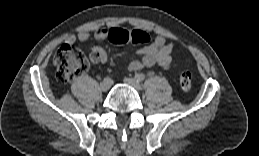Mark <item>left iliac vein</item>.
Returning <instances> with one entry per match:
<instances>
[{
	"instance_id": "obj_1",
	"label": "left iliac vein",
	"mask_w": 259,
	"mask_h": 156,
	"mask_svg": "<svg viewBox=\"0 0 259 156\" xmlns=\"http://www.w3.org/2000/svg\"><path fill=\"white\" fill-rule=\"evenodd\" d=\"M124 82L126 84L130 85L131 87H133L134 89H136L137 91H140L142 89V86H141L140 82L136 79L125 78Z\"/></svg>"
}]
</instances>
